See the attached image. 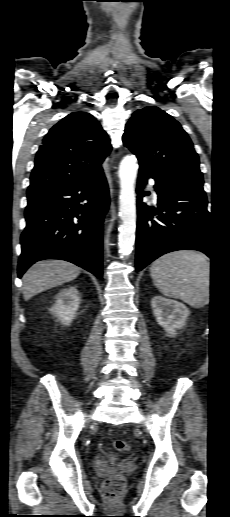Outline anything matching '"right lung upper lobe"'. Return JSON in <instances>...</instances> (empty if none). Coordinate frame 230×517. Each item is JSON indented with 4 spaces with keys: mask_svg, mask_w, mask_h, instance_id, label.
<instances>
[{
    "mask_svg": "<svg viewBox=\"0 0 230 517\" xmlns=\"http://www.w3.org/2000/svg\"><path fill=\"white\" fill-rule=\"evenodd\" d=\"M111 150L109 138L89 113L73 112L54 125L43 139L27 195L66 187L102 172Z\"/></svg>",
    "mask_w": 230,
    "mask_h": 517,
    "instance_id": "right-lung-upper-lobe-1",
    "label": "right lung upper lobe"
}]
</instances>
